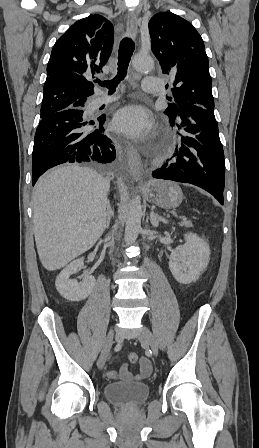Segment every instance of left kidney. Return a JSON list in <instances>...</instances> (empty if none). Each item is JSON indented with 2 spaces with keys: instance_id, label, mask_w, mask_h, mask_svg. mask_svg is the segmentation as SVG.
Wrapping results in <instances>:
<instances>
[{
  "instance_id": "5707ae66",
  "label": "left kidney",
  "mask_w": 259,
  "mask_h": 448,
  "mask_svg": "<svg viewBox=\"0 0 259 448\" xmlns=\"http://www.w3.org/2000/svg\"><path fill=\"white\" fill-rule=\"evenodd\" d=\"M186 244L170 254L169 268L179 284H191L200 278L210 260V248L196 234H185Z\"/></svg>"
}]
</instances>
